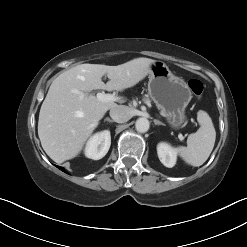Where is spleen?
Here are the masks:
<instances>
[{
	"instance_id": "3e777b00",
	"label": "spleen",
	"mask_w": 247,
	"mask_h": 247,
	"mask_svg": "<svg viewBox=\"0 0 247 247\" xmlns=\"http://www.w3.org/2000/svg\"><path fill=\"white\" fill-rule=\"evenodd\" d=\"M197 120L201 126L197 132L188 136L187 147L177 148V152L185 162L195 167L201 166L208 159L216 139L214 125L205 111L198 112Z\"/></svg>"
}]
</instances>
